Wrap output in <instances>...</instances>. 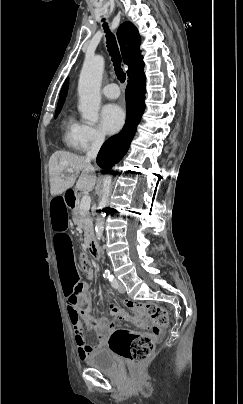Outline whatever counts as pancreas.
<instances>
[{"label":"pancreas","mask_w":243,"mask_h":404,"mask_svg":"<svg viewBox=\"0 0 243 404\" xmlns=\"http://www.w3.org/2000/svg\"><path fill=\"white\" fill-rule=\"evenodd\" d=\"M72 220L74 224L78 226V228H82V230H84L85 244H88L89 238H91L93 232L92 218L89 212L88 214H85V212L80 210V206H76V208H74Z\"/></svg>","instance_id":"cf45deb5"}]
</instances>
